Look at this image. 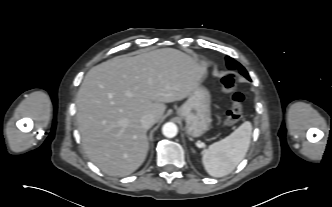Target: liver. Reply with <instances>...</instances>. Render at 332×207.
Wrapping results in <instances>:
<instances>
[{"instance_id": "liver-1", "label": "liver", "mask_w": 332, "mask_h": 207, "mask_svg": "<svg viewBox=\"0 0 332 207\" xmlns=\"http://www.w3.org/2000/svg\"><path fill=\"white\" fill-rule=\"evenodd\" d=\"M206 73L204 64L172 48L118 56L93 67L76 100L88 158L110 176L133 173L148 151L142 116L153 114L158 122L165 103L189 96Z\"/></svg>"}]
</instances>
